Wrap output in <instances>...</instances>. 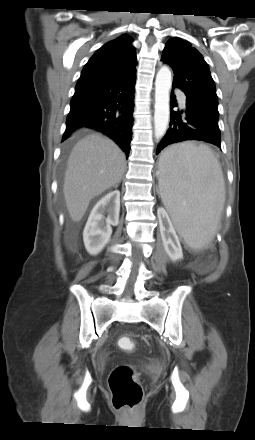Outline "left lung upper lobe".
Wrapping results in <instances>:
<instances>
[{
  "label": "left lung upper lobe",
  "instance_id": "obj_1",
  "mask_svg": "<svg viewBox=\"0 0 255 440\" xmlns=\"http://www.w3.org/2000/svg\"><path fill=\"white\" fill-rule=\"evenodd\" d=\"M162 61L174 72L173 86L180 88L187 100L218 110L215 83L203 56L180 38H171L165 45Z\"/></svg>",
  "mask_w": 255,
  "mask_h": 440
}]
</instances>
